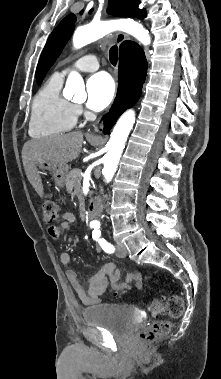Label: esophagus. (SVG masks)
<instances>
[{"instance_id":"1","label":"esophagus","mask_w":221,"mask_h":379,"mask_svg":"<svg viewBox=\"0 0 221 379\" xmlns=\"http://www.w3.org/2000/svg\"><path fill=\"white\" fill-rule=\"evenodd\" d=\"M128 39H129V37L126 34H124L122 32L116 33V42H117L118 46H120L125 40H128ZM100 127H102V125Z\"/></svg>"}]
</instances>
